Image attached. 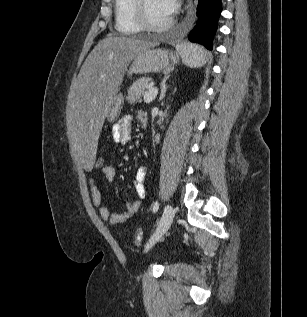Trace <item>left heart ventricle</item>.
<instances>
[{
  "label": "left heart ventricle",
  "instance_id": "obj_1",
  "mask_svg": "<svg viewBox=\"0 0 307 317\" xmlns=\"http://www.w3.org/2000/svg\"><path fill=\"white\" fill-rule=\"evenodd\" d=\"M146 9L149 20L155 25L167 23L171 18L161 0H146Z\"/></svg>",
  "mask_w": 307,
  "mask_h": 317
}]
</instances>
